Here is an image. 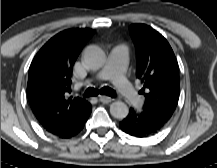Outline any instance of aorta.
Wrapping results in <instances>:
<instances>
[{"label": "aorta", "mask_w": 217, "mask_h": 168, "mask_svg": "<svg viewBox=\"0 0 217 168\" xmlns=\"http://www.w3.org/2000/svg\"><path fill=\"white\" fill-rule=\"evenodd\" d=\"M83 61L89 68L97 70L104 66L106 55L100 47L91 45L85 49ZM110 113L114 118L122 120L128 115L129 108L124 102L115 101L110 105Z\"/></svg>", "instance_id": "1"}]
</instances>
